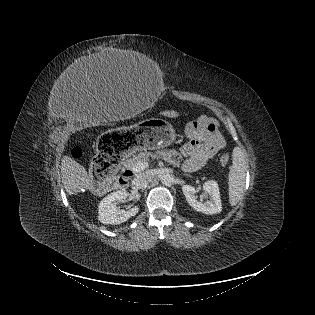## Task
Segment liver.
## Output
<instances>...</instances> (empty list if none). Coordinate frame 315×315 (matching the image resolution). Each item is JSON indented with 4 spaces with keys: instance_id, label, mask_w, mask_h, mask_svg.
Returning a JSON list of instances; mask_svg holds the SVG:
<instances>
[{
    "instance_id": "6515ba94",
    "label": "liver",
    "mask_w": 315,
    "mask_h": 315,
    "mask_svg": "<svg viewBox=\"0 0 315 315\" xmlns=\"http://www.w3.org/2000/svg\"><path fill=\"white\" fill-rule=\"evenodd\" d=\"M127 51H110L85 57L77 66L76 70L80 74H97L118 70L120 60L128 56ZM127 110L123 109L122 114L128 117ZM61 175L64 189L68 195H76L85 190H91L94 186V180L86 169L77 161L69 156H64L61 160Z\"/></svg>"
}]
</instances>
